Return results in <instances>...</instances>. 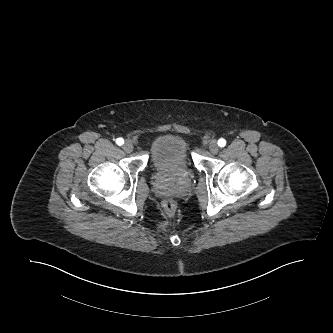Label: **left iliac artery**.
<instances>
[{"label":"left iliac artery","instance_id":"left-iliac-artery-1","mask_svg":"<svg viewBox=\"0 0 333 333\" xmlns=\"http://www.w3.org/2000/svg\"><path fill=\"white\" fill-rule=\"evenodd\" d=\"M218 145H219L220 147H224V146L226 145V140L223 139V138L219 139V140H218Z\"/></svg>","mask_w":333,"mask_h":333}]
</instances>
